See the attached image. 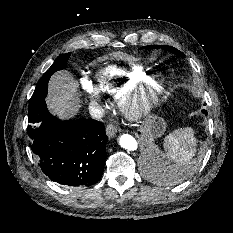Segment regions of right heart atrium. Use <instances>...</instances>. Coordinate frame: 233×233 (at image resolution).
Wrapping results in <instances>:
<instances>
[{
  "label": "right heart atrium",
  "instance_id": "obj_1",
  "mask_svg": "<svg viewBox=\"0 0 233 233\" xmlns=\"http://www.w3.org/2000/svg\"><path fill=\"white\" fill-rule=\"evenodd\" d=\"M80 84L82 91L88 99V101L94 103L101 100L102 94L96 83H94L87 77H83L80 81Z\"/></svg>",
  "mask_w": 233,
  "mask_h": 233
}]
</instances>
